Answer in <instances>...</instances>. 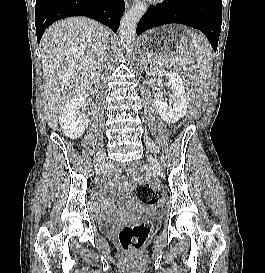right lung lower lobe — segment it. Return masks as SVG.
Masks as SVG:
<instances>
[{
  "mask_svg": "<svg viewBox=\"0 0 265 273\" xmlns=\"http://www.w3.org/2000/svg\"><path fill=\"white\" fill-rule=\"evenodd\" d=\"M124 10V0H36L37 41L40 42L48 26L70 16H86L95 19L116 32Z\"/></svg>",
  "mask_w": 265,
  "mask_h": 273,
  "instance_id": "98d812e1",
  "label": "right lung lower lobe"
}]
</instances>
